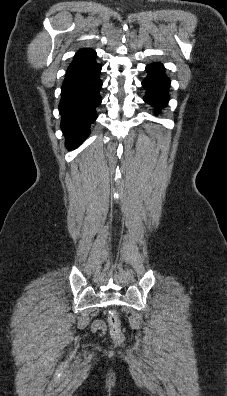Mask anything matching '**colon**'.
Wrapping results in <instances>:
<instances>
[{"instance_id":"5ec220e1","label":"colon","mask_w":227,"mask_h":396,"mask_svg":"<svg viewBox=\"0 0 227 396\" xmlns=\"http://www.w3.org/2000/svg\"><path fill=\"white\" fill-rule=\"evenodd\" d=\"M108 323H109V333L113 341L116 344L122 343L124 341V334L121 330L120 316L117 311L112 310L109 313Z\"/></svg>"}]
</instances>
